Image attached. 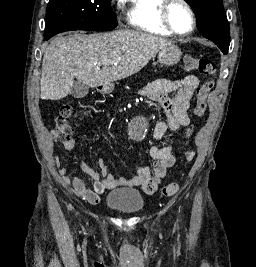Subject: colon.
Here are the masks:
<instances>
[{
	"instance_id": "5ec220e1",
	"label": "colon",
	"mask_w": 256,
	"mask_h": 267,
	"mask_svg": "<svg viewBox=\"0 0 256 267\" xmlns=\"http://www.w3.org/2000/svg\"><path fill=\"white\" fill-rule=\"evenodd\" d=\"M185 65L188 69L197 71L199 74L206 77V81L202 83L195 92V100L193 113L196 117H201L206 109V102L209 93L214 86V78L216 76L217 66L214 60L210 57H187ZM75 111L70 106L62 107L55 119L56 133L60 139H70L73 136V127L70 119ZM193 152L185 149L184 164H189L192 161ZM179 190L178 182L169 183L161 188L163 196H173Z\"/></svg>"
}]
</instances>
